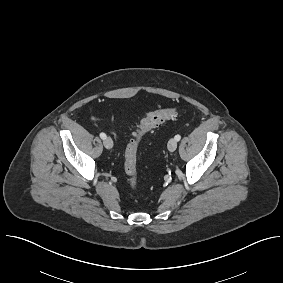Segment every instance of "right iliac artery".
<instances>
[{"label": "right iliac artery", "mask_w": 283, "mask_h": 283, "mask_svg": "<svg viewBox=\"0 0 283 283\" xmlns=\"http://www.w3.org/2000/svg\"><path fill=\"white\" fill-rule=\"evenodd\" d=\"M100 137H101V139H105L106 138V134L105 133H100Z\"/></svg>", "instance_id": "82829eb1"}]
</instances>
